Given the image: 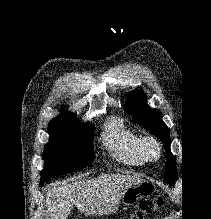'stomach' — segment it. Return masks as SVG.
Instances as JSON below:
<instances>
[{"instance_id":"1","label":"stomach","mask_w":211,"mask_h":219,"mask_svg":"<svg viewBox=\"0 0 211 219\" xmlns=\"http://www.w3.org/2000/svg\"><path fill=\"white\" fill-rule=\"evenodd\" d=\"M155 191V185L150 182H142L138 185L131 186L123 191L120 201L126 205H134L139 199L148 196Z\"/></svg>"}]
</instances>
